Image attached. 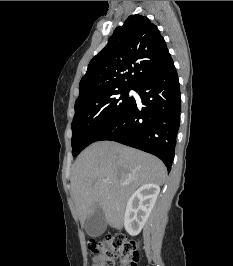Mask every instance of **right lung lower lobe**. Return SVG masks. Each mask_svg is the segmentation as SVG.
Here are the masks:
<instances>
[{"label": "right lung lower lobe", "mask_w": 233, "mask_h": 266, "mask_svg": "<svg viewBox=\"0 0 233 266\" xmlns=\"http://www.w3.org/2000/svg\"><path fill=\"white\" fill-rule=\"evenodd\" d=\"M135 91L136 101L96 141L112 140L160 158L171 170L180 121V86L171 60L150 75Z\"/></svg>", "instance_id": "obj_1"}]
</instances>
